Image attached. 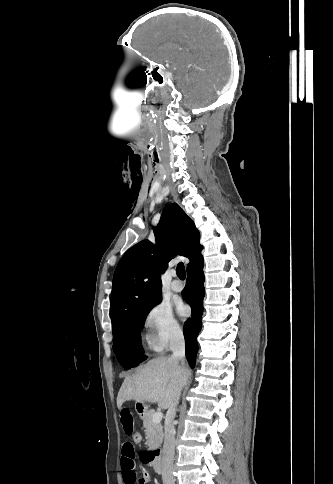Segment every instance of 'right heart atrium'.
<instances>
[{
    "mask_svg": "<svg viewBox=\"0 0 333 484\" xmlns=\"http://www.w3.org/2000/svg\"><path fill=\"white\" fill-rule=\"evenodd\" d=\"M144 324L147 342L155 350L167 348L182 336L179 321L171 306L164 301L157 302L147 311Z\"/></svg>",
    "mask_w": 333,
    "mask_h": 484,
    "instance_id": "d8ad5b80",
    "label": "right heart atrium"
}]
</instances>
